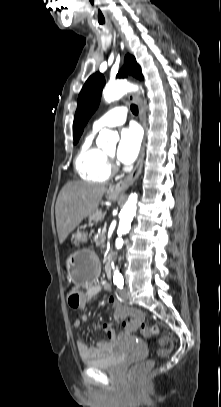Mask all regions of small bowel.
Wrapping results in <instances>:
<instances>
[{
  "mask_svg": "<svg viewBox=\"0 0 221 407\" xmlns=\"http://www.w3.org/2000/svg\"><path fill=\"white\" fill-rule=\"evenodd\" d=\"M107 287V286H106ZM87 293L85 294V304L86 305L88 302H90L95 296L99 294L101 291L102 286L97 283V282H92L89 283L87 286ZM108 302L111 304L113 309L115 310V307L117 305H123L118 299L115 297H110L108 299ZM87 317L83 315L80 319H76L74 321V326L76 328L80 327L82 322L86 321ZM103 330L108 334V337L110 341H103L101 342L98 346L96 347H89L85 341L83 340L82 337H78L76 339V346L77 350L79 353V356L81 357L82 360L88 361V360H93L97 358H101L108 353L112 352L115 347L119 344L120 340V335L117 332V329L110 323H105L103 325ZM126 333H130L134 330H128L125 329Z\"/></svg>",
  "mask_w": 221,
  "mask_h": 407,
  "instance_id": "1",
  "label": "small bowel"
}]
</instances>
